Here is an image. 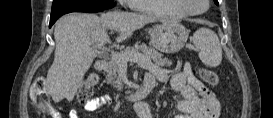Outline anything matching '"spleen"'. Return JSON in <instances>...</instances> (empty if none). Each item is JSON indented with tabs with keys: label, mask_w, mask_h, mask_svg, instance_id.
Here are the masks:
<instances>
[{
	"label": "spleen",
	"mask_w": 273,
	"mask_h": 118,
	"mask_svg": "<svg viewBox=\"0 0 273 118\" xmlns=\"http://www.w3.org/2000/svg\"><path fill=\"white\" fill-rule=\"evenodd\" d=\"M193 43L200 60L208 67H216L222 61V48L218 36L208 28H200L193 35Z\"/></svg>",
	"instance_id": "obj_1"
}]
</instances>
